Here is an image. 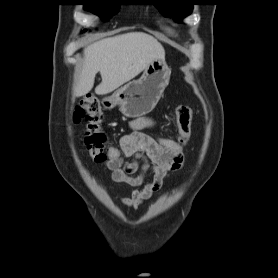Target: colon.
Segmentation results:
<instances>
[{
  "instance_id": "obj_1",
  "label": "colon",
  "mask_w": 278,
  "mask_h": 278,
  "mask_svg": "<svg viewBox=\"0 0 278 278\" xmlns=\"http://www.w3.org/2000/svg\"><path fill=\"white\" fill-rule=\"evenodd\" d=\"M103 119L104 115L100 103L93 96L81 99L73 113L75 122H85V144L96 162L117 159L121 154L118 146L106 148V135L102 130ZM176 119L179 129L177 138H160L158 142L168 151L183 155L191 134V109L187 106H179L176 110Z\"/></svg>"
}]
</instances>
